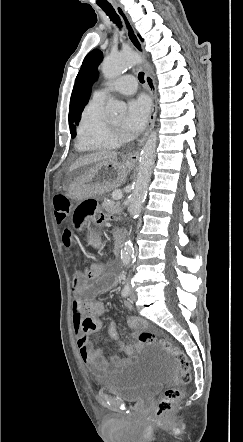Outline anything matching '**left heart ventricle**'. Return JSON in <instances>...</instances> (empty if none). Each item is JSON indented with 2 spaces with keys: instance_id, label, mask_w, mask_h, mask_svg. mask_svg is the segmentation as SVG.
Wrapping results in <instances>:
<instances>
[{
  "instance_id": "b2bd125f",
  "label": "left heart ventricle",
  "mask_w": 243,
  "mask_h": 442,
  "mask_svg": "<svg viewBox=\"0 0 243 442\" xmlns=\"http://www.w3.org/2000/svg\"><path fill=\"white\" fill-rule=\"evenodd\" d=\"M115 127L122 128L123 119L117 118L110 121Z\"/></svg>"
}]
</instances>
